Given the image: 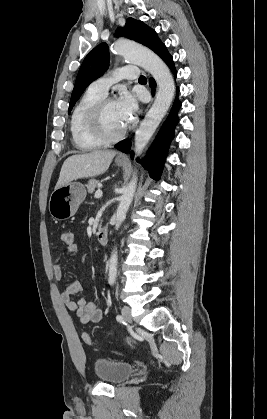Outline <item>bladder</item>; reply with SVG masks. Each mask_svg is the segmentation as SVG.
<instances>
[{
	"label": "bladder",
	"mask_w": 267,
	"mask_h": 419,
	"mask_svg": "<svg viewBox=\"0 0 267 419\" xmlns=\"http://www.w3.org/2000/svg\"><path fill=\"white\" fill-rule=\"evenodd\" d=\"M93 369L99 380L117 385L124 382L133 373L134 366L124 361L100 357L94 361Z\"/></svg>",
	"instance_id": "1"
}]
</instances>
